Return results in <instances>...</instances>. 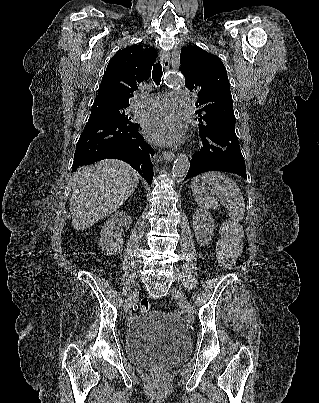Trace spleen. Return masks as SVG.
<instances>
[{
	"label": "spleen",
	"instance_id": "obj_1",
	"mask_svg": "<svg viewBox=\"0 0 319 403\" xmlns=\"http://www.w3.org/2000/svg\"><path fill=\"white\" fill-rule=\"evenodd\" d=\"M212 190L219 198L220 204L229 211V217L234 222H239L245 214V200L237 184L221 172H206L195 177L191 182V189L198 206L204 209H216L218 200L206 195Z\"/></svg>",
	"mask_w": 319,
	"mask_h": 403
}]
</instances>
